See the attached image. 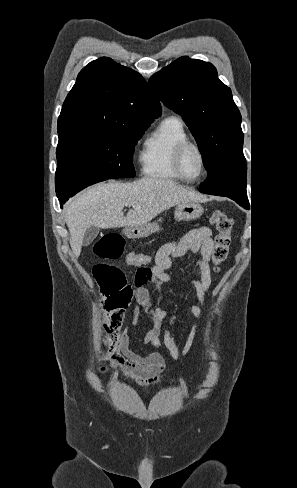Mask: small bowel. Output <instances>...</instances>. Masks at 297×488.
<instances>
[{
	"mask_svg": "<svg viewBox=\"0 0 297 488\" xmlns=\"http://www.w3.org/2000/svg\"><path fill=\"white\" fill-rule=\"evenodd\" d=\"M213 248L212 232L208 227H199L190 230L180 239L161 245L154 257L143 253L130 252L126 256V263L132 266L145 265L148 267L147 280L144 284L135 287L131 300L136 302L151 317L153 326L145 334L144 340L147 345L156 348L148 354H140L129 347L126 333L120 336L118 347L112 358V367L120 371L127 379L134 382L141 388L158 384L165 371L166 363L163 353L158 349V337L162 332V321L169 318L168 326L164 330V344L173 360L179 359L189 353L199 325H195L188 339L185 342L182 352H179L175 339V331L181 318L193 315L197 318L204 316L202 307L188 305L181 309L179 302L172 299L168 306L162 307L165 299L164 286L171 282L168 270L175 267L178 262L187 254H199L195 262L198 269V276L190 281L201 304L205 306L207 293L211 283L210 255ZM147 257V261L142 259ZM153 262L152 265H148ZM94 274V272H93ZM146 283L154 286L159 291V296L154 304L151 303L149 292L144 288ZM100 375L109 374V368L103 367Z\"/></svg>",
	"mask_w": 297,
	"mask_h": 488,
	"instance_id": "small-bowel-1",
	"label": "small bowel"
}]
</instances>
